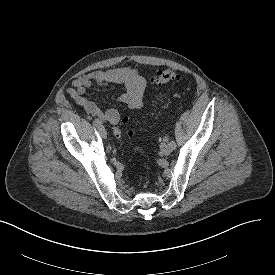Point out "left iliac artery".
I'll return each instance as SVG.
<instances>
[{
    "label": "left iliac artery",
    "instance_id": "44dca946",
    "mask_svg": "<svg viewBox=\"0 0 275 275\" xmlns=\"http://www.w3.org/2000/svg\"><path fill=\"white\" fill-rule=\"evenodd\" d=\"M169 144L172 146L173 149L176 148V143H175V141L172 140V141L169 142Z\"/></svg>",
    "mask_w": 275,
    "mask_h": 275
}]
</instances>
